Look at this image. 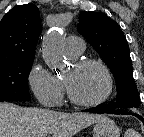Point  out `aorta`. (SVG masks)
Returning <instances> with one entry per match:
<instances>
[{
	"mask_svg": "<svg viewBox=\"0 0 144 137\" xmlns=\"http://www.w3.org/2000/svg\"><path fill=\"white\" fill-rule=\"evenodd\" d=\"M42 56L51 69L64 66L63 37L58 29L52 30L43 38Z\"/></svg>",
	"mask_w": 144,
	"mask_h": 137,
	"instance_id": "obj_1",
	"label": "aorta"
}]
</instances>
